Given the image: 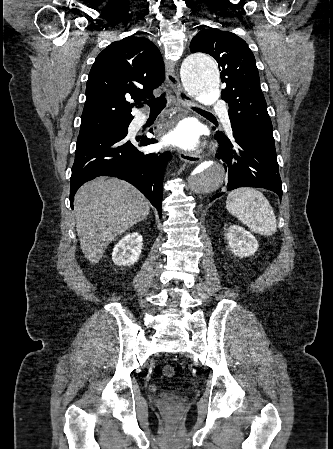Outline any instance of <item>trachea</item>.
<instances>
[{"label":"trachea","mask_w":333,"mask_h":449,"mask_svg":"<svg viewBox=\"0 0 333 449\" xmlns=\"http://www.w3.org/2000/svg\"><path fill=\"white\" fill-rule=\"evenodd\" d=\"M145 103L150 107V112L153 113V112L162 111L165 108L167 101H166L165 95L163 94L158 98L148 100V101L145 100ZM194 109L197 111H203L200 108H194Z\"/></svg>","instance_id":"3493384b"}]
</instances>
